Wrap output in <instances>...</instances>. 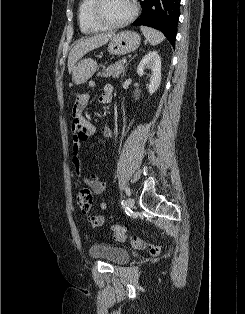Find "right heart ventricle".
Instances as JSON below:
<instances>
[{
  "mask_svg": "<svg viewBox=\"0 0 245 314\" xmlns=\"http://www.w3.org/2000/svg\"><path fill=\"white\" fill-rule=\"evenodd\" d=\"M94 0H81L78 8V20L80 29L85 34H93L105 30L97 24L92 17Z\"/></svg>",
  "mask_w": 245,
  "mask_h": 314,
  "instance_id": "e07e8e85",
  "label": "right heart ventricle"
}]
</instances>
